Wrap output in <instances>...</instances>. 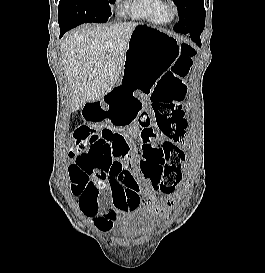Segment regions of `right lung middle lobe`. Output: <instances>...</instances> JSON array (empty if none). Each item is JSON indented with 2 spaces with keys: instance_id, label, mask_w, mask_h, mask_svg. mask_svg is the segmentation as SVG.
Wrapping results in <instances>:
<instances>
[{
  "instance_id": "obj_1",
  "label": "right lung middle lobe",
  "mask_w": 265,
  "mask_h": 273,
  "mask_svg": "<svg viewBox=\"0 0 265 273\" xmlns=\"http://www.w3.org/2000/svg\"><path fill=\"white\" fill-rule=\"evenodd\" d=\"M115 0H60L58 22L61 31H68L80 24L106 22L111 15L109 3Z\"/></svg>"
}]
</instances>
